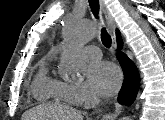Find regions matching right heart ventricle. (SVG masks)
Listing matches in <instances>:
<instances>
[{"label":"right heart ventricle","mask_w":165,"mask_h":120,"mask_svg":"<svg viewBox=\"0 0 165 120\" xmlns=\"http://www.w3.org/2000/svg\"><path fill=\"white\" fill-rule=\"evenodd\" d=\"M49 58L40 66L33 81L32 91L40 101H68L63 88V82L49 73Z\"/></svg>","instance_id":"obj_1"}]
</instances>
